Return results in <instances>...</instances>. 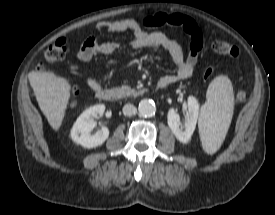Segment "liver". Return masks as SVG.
<instances>
[{
	"label": "liver",
	"instance_id": "liver-1",
	"mask_svg": "<svg viewBox=\"0 0 275 215\" xmlns=\"http://www.w3.org/2000/svg\"><path fill=\"white\" fill-rule=\"evenodd\" d=\"M28 78L42 113L59 130L71 97L70 83L49 71H31Z\"/></svg>",
	"mask_w": 275,
	"mask_h": 215
}]
</instances>
